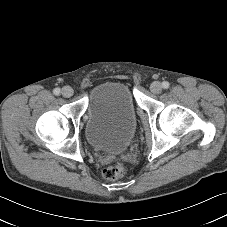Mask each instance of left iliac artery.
I'll return each mask as SVG.
<instances>
[{
  "label": "left iliac artery",
  "mask_w": 227,
  "mask_h": 227,
  "mask_svg": "<svg viewBox=\"0 0 227 227\" xmlns=\"http://www.w3.org/2000/svg\"><path fill=\"white\" fill-rule=\"evenodd\" d=\"M162 87H163L164 89L169 88V83H168L167 81H164V82L162 83Z\"/></svg>",
  "instance_id": "44dca946"
}]
</instances>
